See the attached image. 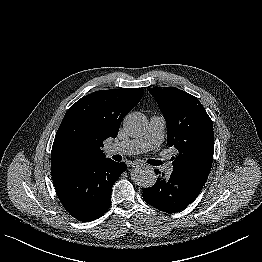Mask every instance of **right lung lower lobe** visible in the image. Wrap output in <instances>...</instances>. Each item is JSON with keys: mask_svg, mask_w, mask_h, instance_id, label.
Instances as JSON below:
<instances>
[{"mask_svg": "<svg viewBox=\"0 0 262 262\" xmlns=\"http://www.w3.org/2000/svg\"><path fill=\"white\" fill-rule=\"evenodd\" d=\"M126 168L124 162L104 159L71 168L51 169V174L64 208L79 221L90 222L110 207L112 186Z\"/></svg>", "mask_w": 262, "mask_h": 262, "instance_id": "obj_1", "label": "right lung lower lobe"}]
</instances>
